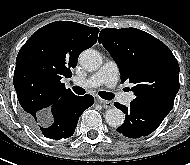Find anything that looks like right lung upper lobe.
<instances>
[{
	"mask_svg": "<svg viewBox=\"0 0 190 165\" xmlns=\"http://www.w3.org/2000/svg\"><path fill=\"white\" fill-rule=\"evenodd\" d=\"M99 29L56 21L37 30L22 46L13 78L24 113L37 116L57 100L74 95L61 83L72 76L79 54L97 42Z\"/></svg>",
	"mask_w": 190,
	"mask_h": 165,
	"instance_id": "right-lung-upper-lobe-1",
	"label": "right lung upper lobe"
}]
</instances>
